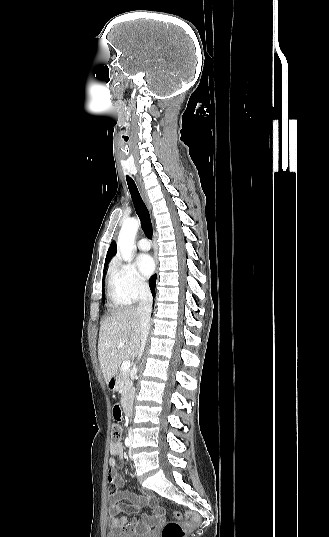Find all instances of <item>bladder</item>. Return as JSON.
Returning a JSON list of instances; mask_svg holds the SVG:
<instances>
[{"label": "bladder", "mask_w": 329, "mask_h": 537, "mask_svg": "<svg viewBox=\"0 0 329 537\" xmlns=\"http://www.w3.org/2000/svg\"><path fill=\"white\" fill-rule=\"evenodd\" d=\"M106 537H153V536L150 533H142V534L134 535V534H127L121 531L110 530L107 532Z\"/></svg>", "instance_id": "1"}]
</instances>
